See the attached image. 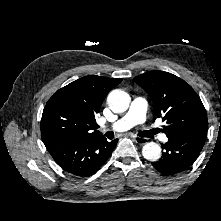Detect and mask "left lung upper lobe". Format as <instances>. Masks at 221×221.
Instances as JSON below:
<instances>
[{
	"mask_svg": "<svg viewBox=\"0 0 221 221\" xmlns=\"http://www.w3.org/2000/svg\"><path fill=\"white\" fill-rule=\"evenodd\" d=\"M134 81L151 97L156 116L166 122L163 132L168 138L207 134L204 105L184 80L168 72L153 70L135 77Z\"/></svg>",
	"mask_w": 221,
	"mask_h": 221,
	"instance_id": "obj_1",
	"label": "left lung upper lobe"
}]
</instances>
